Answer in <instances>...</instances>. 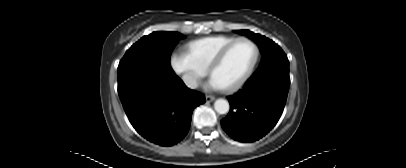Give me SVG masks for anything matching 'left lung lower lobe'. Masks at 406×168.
Segmentation results:
<instances>
[{
	"mask_svg": "<svg viewBox=\"0 0 406 168\" xmlns=\"http://www.w3.org/2000/svg\"><path fill=\"white\" fill-rule=\"evenodd\" d=\"M289 86L287 76L265 73L251 77L238 93L228 97L230 111L221 120L222 128L240 142L259 140L278 122Z\"/></svg>",
	"mask_w": 406,
	"mask_h": 168,
	"instance_id": "1",
	"label": "left lung lower lobe"
}]
</instances>
